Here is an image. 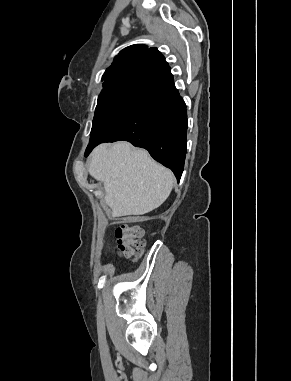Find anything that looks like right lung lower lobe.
<instances>
[{
  "label": "right lung lower lobe",
  "mask_w": 291,
  "mask_h": 381,
  "mask_svg": "<svg viewBox=\"0 0 291 381\" xmlns=\"http://www.w3.org/2000/svg\"><path fill=\"white\" fill-rule=\"evenodd\" d=\"M186 105L174 86L170 67L145 75L120 125L119 137L170 168L179 181L186 155ZM114 142V141H103ZM99 143L87 147V156Z\"/></svg>",
  "instance_id": "obj_1"
}]
</instances>
